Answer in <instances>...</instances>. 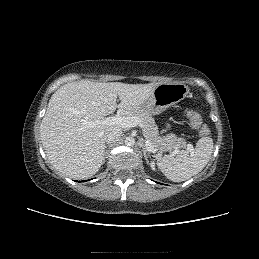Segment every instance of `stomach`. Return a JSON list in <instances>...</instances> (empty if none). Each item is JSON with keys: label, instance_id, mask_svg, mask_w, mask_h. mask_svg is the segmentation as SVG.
Instances as JSON below:
<instances>
[{"label": "stomach", "instance_id": "0dacf381", "mask_svg": "<svg viewBox=\"0 0 259 259\" xmlns=\"http://www.w3.org/2000/svg\"><path fill=\"white\" fill-rule=\"evenodd\" d=\"M188 93L189 87L184 83H161L138 109L146 111L151 115L160 114L183 100Z\"/></svg>", "mask_w": 259, "mask_h": 259}]
</instances>
